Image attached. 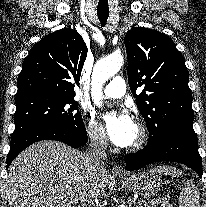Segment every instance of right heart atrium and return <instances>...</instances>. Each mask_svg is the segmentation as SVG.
<instances>
[{
  "label": "right heart atrium",
  "mask_w": 206,
  "mask_h": 207,
  "mask_svg": "<svg viewBox=\"0 0 206 207\" xmlns=\"http://www.w3.org/2000/svg\"><path fill=\"white\" fill-rule=\"evenodd\" d=\"M84 119L86 132L92 144L97 147H105L107 138L104 130L98 125L92 115L85 114Z\"/></svg>",
  "instance_id": "right-heart-atrium-1"
}]
</instances>
